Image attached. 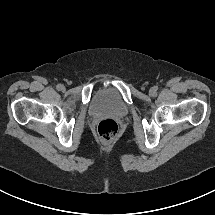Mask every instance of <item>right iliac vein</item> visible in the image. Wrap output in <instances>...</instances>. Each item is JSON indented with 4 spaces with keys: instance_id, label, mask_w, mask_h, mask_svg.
<instances>
[{
    "instance_id": "right-iliac-vein-1",
    "label": "right iliac vein",
    "mask_w": 215,
    "mask_h": 215,
    "mask_svg": "<svg viewBox=\"0 0 215 215\" xmlns=\"http://www.w3.org/2000/svg\"><path fill=\"white\" fill-rule=\"evenodd\" d=\"M61 91L65 90V87L62 85L60 88Z\"/></svg>"
}]
</instances>
